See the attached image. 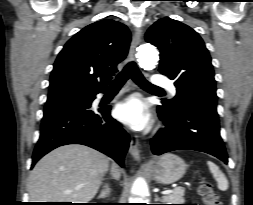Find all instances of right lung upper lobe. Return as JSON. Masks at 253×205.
Instances as JSON below:
<instances>
[{"label": "right lung upper lobe", "mask_w": 253, "mask_h": 205, "mask_svg": "<svg viewBox=\"0 0 253 205\" xmlns=\"http://www.w3.org/2000/svg\"><path fill=\"white\" fill-rule=\"evenodd\" d=\"M131 34L117 21L100 20L75 34L59 53L47 102L90 97L106 90L128 53Z\"/></svg>", "instance_id": "obj_1"}]
</instances>
